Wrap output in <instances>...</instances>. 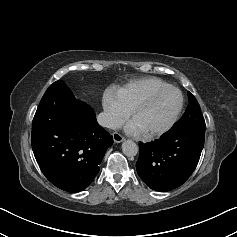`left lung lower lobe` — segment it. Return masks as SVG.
Here are the masks:
<instances>
[{
	"mask_svg": "<svg viewBox=\"0 0 237 237\" xmlns=\"http://www.w3.org/2000/svg\"><path fill=\"white\" fill-rule=\"evenodd\" d=\"M205 138V129L175 130L150 143H139L136 169L140 178L157 191L182 185L195 170Z\"/></svg>",
	"mask_w": 237,
	"mask_h": 237,
	"instance_id": "1",
	"label": "left lung lower lobe"
}]
</instances>
